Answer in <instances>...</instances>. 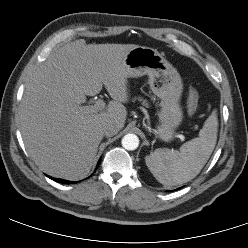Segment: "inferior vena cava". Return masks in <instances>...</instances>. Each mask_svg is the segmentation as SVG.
<instances>
[{
	"label": "inferior vena cava",
	"instance_id": "obj_1",
	"mask_svg": "<svg viewBox=\"0 0 248 248\" xmlns=\"http://www.w3.org/2000/svg\"><path fill=\"white\" fill-rule=\"evenodd\" d=\"M102 130L107 137H111L119 132V126L113 122H107L103 125Z\"/></svg>",
	"mask_w": 248,
	"mask_h": 248
}]
</instances>
